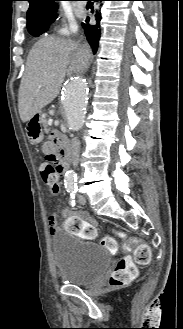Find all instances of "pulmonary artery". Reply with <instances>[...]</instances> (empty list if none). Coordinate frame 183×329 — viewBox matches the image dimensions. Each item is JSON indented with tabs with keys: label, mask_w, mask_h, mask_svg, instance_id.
Wrapping results in <instances>:
<instances>
[{
	"label": "pulmonary artery",
	"mask_w": 183,
	"mask_h": 329,
	"mask_svg": "<svg viewBox=\"0 0 183 329\" xmlns=\"http://www.w3.org/2000/svg\"><path fill=\"white\" fill-rule=\"evenodd\" d=\"M77 7L80 8V9H84L85 5L84 4H78Z\"/></svg>",
	"instance_id": "pulmonary-artery-1"
}]
</instances>
